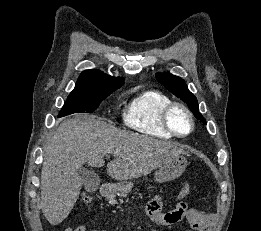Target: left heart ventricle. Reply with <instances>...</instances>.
Here are the masks:
<instances>
[{
    "mask_svg": "<svg viewBox=\"0 0 261 231\" xmlns=\"http://www.w3.org/2000/svg\"><path fill=\"white\" fill-rule=\"evenodd\" d=\"M171 124L179 134L189 132L191 123L187 114L181 109H175L171 114Z\"/></svg>",
    "mask_w": 261,
    "mask_h": 231,
    "instance_id": "obj_1",
    "label": "left heart ventricle"
}]
</instances>
